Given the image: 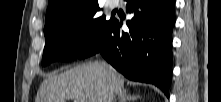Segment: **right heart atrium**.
Listing matches in <instances>:
<instances>
[{"label": "right heart atrium", "mask_w": 221, "mask_h": 102, "mask_svg": "<svg viewBox=\"0 0 221 102\" xmlns=\"http://www.w3.org/2000/svg\"><path fill=\"white\" fill-rule=\"evenodd\" d=\"M82 34H83V27H82V26L76 27V29H75L74 32H73V36H74L75 38H78V37H80Z\"/></svg>", "instance_id": "obj_1"}]
</instances>
